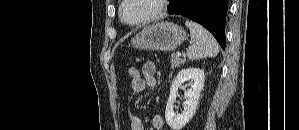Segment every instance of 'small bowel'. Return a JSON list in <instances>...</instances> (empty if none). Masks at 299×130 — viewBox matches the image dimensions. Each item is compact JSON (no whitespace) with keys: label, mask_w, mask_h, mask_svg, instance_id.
<instances>
[{"label":"small bowel","mask_w":299,"mask_h":130,"mask_svg":"<svg viewBox=\"0 0 299 130\" xmlns=\"http://www.w3.org/2000/svg\"><path fill=\"white\" fill-rule=\"evenodd\" d=\"M157 84L156 65L154 62H146L142 66V75L139 81L130 84L132 95H138L146 88H153ZM131 130H145L143 121L133 113L128 114ZM151 125L155 130H161L164 126L163 117L155 114L151 118Z\"/></svg>","instance_id":"obj_1"}]
</instances>
